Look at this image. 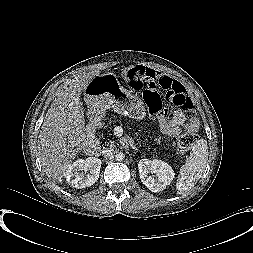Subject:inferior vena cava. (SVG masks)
Listing matches in <instances>:
<instances>
[{
    "label": "inferior vena cava",
    "instance_id": "1",
    "mask_svg": "<svg viewBox=\"0 0 253 253\" xmlns=\"http://www.w3.org/2000/svg\"><path fill=\"white\" fill-rule=\"evenodd\" d=\"M112 151L113 150H111V149H106L103 152H104L105 155L110 156L112 154Z\"/></svg>",
    "mask_w": 253,
    "mask_h": 253
}]
</instances>
